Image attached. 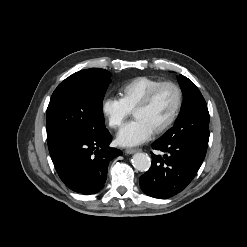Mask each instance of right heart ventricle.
<instances>
[{"instance_id": "e07e8e85", "label": "right heart ventricle", "mask_w": 247, "mask_h": 247, "mask_svg": "<svg viewBox=\"0 0 247 247\" xmlns=\"http://www.w3.org/2000/svg\"><path fill=\"white\" fill-rule=\"evenodd\" d=\"M160 82V79L149 76L133 78L120 88V99L130 111H133L148 91Z\"/></svg>"}]
</instances>
